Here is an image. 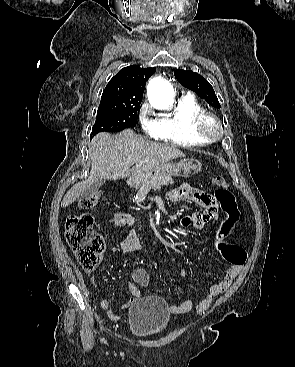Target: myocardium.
I'll list each match as a JSON object with an SVG mask.
<instances>
[{"mask_svg": "<svg viewBox=\"0 0 295 367\" xmlns=\"http://www.w3.org/2000/svg\"><path fill=\"white\" fill-rule=\"evenodd\" d=\"M195 133L208 142L218 139L223 133L219 118L212 112L203 110L193 121Z\"/></svg>", "mask_w": 295, "mask_h": 367, "instance_id": "obj_1", "label": "myocardium"}]
</instances>
